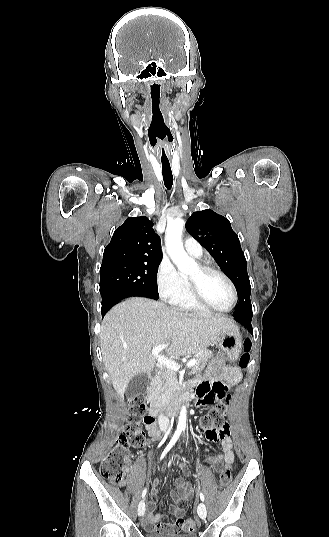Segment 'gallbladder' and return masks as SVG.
I'll return each instance as SVG.
<instances>
[{"label":"gallbladder","instance_id":"bac80fb5","mask_svg":"<svg viewBox=\"0 0 329 537\" xmlns=\"http://www.w3.org/2000/svg\"><path fill=\"white\" fill-rule=\"evenodd\" d=\"M148 386V375L146 373H139L130 380L126 388V394L131 397L139 394H145Z\"/></svg>","mask_w":329,"mask_h":537}]
</instances>
